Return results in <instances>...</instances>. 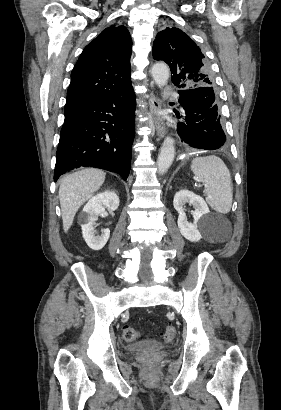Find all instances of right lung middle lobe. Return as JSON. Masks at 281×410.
<instances>
[{
  "label": "right lung middle lobe",
  "instance_id": "right-lung-middle-lobe-1",
  "mask_svg": "<svg viewBox=\"0 0 281 410\" xmlns=\"http://www.w3.org/2000/svg\"><path fill=\"white\" fill-rule=\"evenodd\" d=\"M76 110H65V117L70 116L71 114H73Z\"/></svg>",
  "mask_w": 281,
  "mask_h": 410
}]
</instances>
